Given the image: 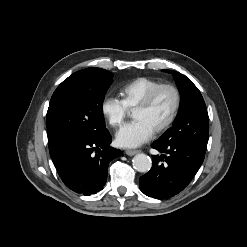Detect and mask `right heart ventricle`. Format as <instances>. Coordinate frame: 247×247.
<instances>
[{
    "label": "right heart ventricle",
    "instance_id": "1",
    "mask_svg": "<svg viewBox=\"0 0 247 247\" xmlns=\"http://www.w3.org/2000/svg\"><path fill=\"white\" fill-rule=\"evenodd\" d=\"M160 81L149 77H137L120 89L121 100L127 109H134Z\"/></svg>",
    "mask_w": 247,
    "mask_h": 247
}]
</instances>
